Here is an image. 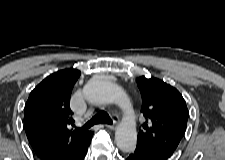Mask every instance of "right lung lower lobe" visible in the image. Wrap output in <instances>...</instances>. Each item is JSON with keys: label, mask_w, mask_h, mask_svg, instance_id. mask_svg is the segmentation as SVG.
<instances>
[{"label": "right lung lower lobe", "mask_w": 225, "mask_h": 160, "mask_svg": "<svg viewBox=\"0 0 225 160\" xmlns=\"http://www.w3.org/2000/svg\"><path fill=\"white\" fill-rule=\"evenodd\" d=\"M90 142L85 146V148L83 150H81L77 155H75L73 157H69V158L65 157V158H62V159L42 158V157H40V158L43 159V160H83L84 157L86 156L87 149H88V146H89Z\"/></svg>", "instance_id": "right-lung-lower-lobe-1"}]
</instances>
